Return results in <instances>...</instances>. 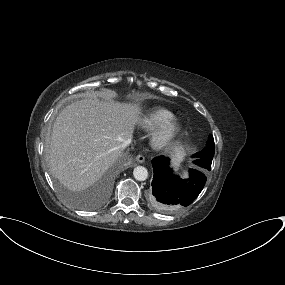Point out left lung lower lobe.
<instances>
[{
	"label": "left lung lower lobe",
	"mask_w": 285,
	"mask_h": 285,
	"mask_svg": "<svg viewBox=\"0 0 285 285\" xmlns=\"http://www.w3.org/2000/svg\"><path fill=\"white\" fill-rule=\"evenodd\" d=\"M152 166L154 177L149 202L162 213H172L190 205L206 183V170L201 166L197 170L190 169L188 179L173 173L168 157L154 158Z\"/></svg>",
	"instance_id": "obj_1"
}]
</instances>
